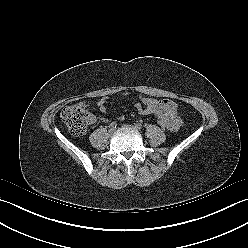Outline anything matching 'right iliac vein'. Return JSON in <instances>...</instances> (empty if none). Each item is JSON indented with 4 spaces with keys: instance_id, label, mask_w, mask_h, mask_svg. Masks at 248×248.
Instances as JSON below:
<instances>
[{
    "instance_id": "63e3f726",
    "label": "right iliac vein",
    "mask_w": 248,
    "mask_h": 248,
    "mask_svg": "<svg viewBox=\"0 0 248 248\" xmlns=\"http://www.w3.org/2000/svg\"><path fill=\"white\" fill-rule=\"evenodd\" d=\"M114 131H115L114 129H110L109 134L112 135L114 133Z\"/></svg>"
}]
</instances>
